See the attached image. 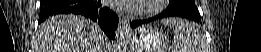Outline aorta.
Masks as SVG:
<instances>
[{
	"label": "aorta",
	"instance_id": "aorta-1",
	"mask_svg": "<svg viewBox=\"0 0 261 52\" xmlns=\"http://www.w3.org/2000/svg\"><path fill=\"white\" fill-rule=\"evenodd\" d=\"M119 35H120V38H121L122 36H121L120 33L117 34V37H118ZM118 51H119V52H122V47H121V46L118 47Z\"/></svg>",
	"mask_w": 261,
	"mask_h": 52
}]
</instances>
